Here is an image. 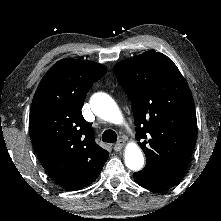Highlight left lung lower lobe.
<instances>
[{
  "mask_svg": "<svg viewBox=\"0 0 221 221\" xmlns=\"http://www.w3.org/2000/svg\"><path fill=\"white\" fill-rule=\"evenodd\" d=\"M135 182L154 192L167 190L178 184L183 176L134 173Z\"/></svg>",
  "mask_w": 221,
  "mask_h": 221,
  "instance_id": "left-lung-lower-lobe-1",
  "label": "left lung lower lobe"
}]
</instances>
